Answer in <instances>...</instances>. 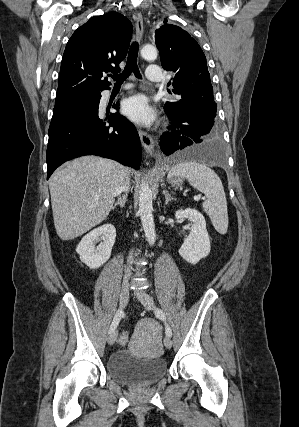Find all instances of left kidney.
Here are the masks:
<instances>
[{"label":"left kidney","mask_w":299,"mask_h":427,"mask_svg":"<svg viewBox=\"0 0 299 427\" xmlns=\"http://www.w3.org/2000/svg\"><path fill=\"white\" fill-rule=\"evenodd\" d=\"M177 220L187 219L191 222V235L184 240L179 249L180 256L188 263L196 264L210 253V240L204 216L195 209L187 208L176 211Z\"/></svg>","instance_id":"left-kidney-1"}]
</instances>
